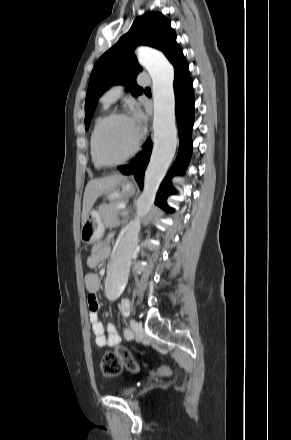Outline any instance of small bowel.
I'll return each instance as SVG.
<instances>
[{
	"instance_id": "small-bowel-1",
	"label": "small bowel",
	"mask_w": 291,
	"mask_h": 440,
	"mask_svg": "<svg viewBox=\"0 0 291 440\" xmlns=\"http://www.w3.org/2000/svg\"><path fill=\"white\" fill-rule=\"evenodd\" d=\"M111 251V236L106 240L96 242L90 256L87 259V264L90 267H95L101 260L109 256ZM84 283L88 296L89 319L92 325V330L95 335V343L99 347H111L120 342V337L112 325L107 327V334H105L104 327L100 321L99 308L100 302L97 297V292L101 288L100 277L96 273H88L84 278ZM130 310V303L123 299L119 303V311L123 316L127 315Z\"/></svg>"
}]
</instances>
